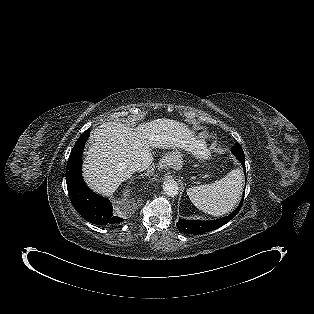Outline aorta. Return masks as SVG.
<instances>
[{
    "label": "aorta",
    "instance_id": "obj_1",
    "mask_svg": "<svg viewBox=\"0 0 314 314\" xmlns=\"http://www.w3.org/2000/svg\"><path fill=\"white\" fill-rule=\"evenodd\" d=\"M163 190L168 196L174 197L178 194L179 187L175 180L168 179L163 182Z\"/></svg>",
    "mask_w": 314,
    "mask_h": 314
}]
</instances>
